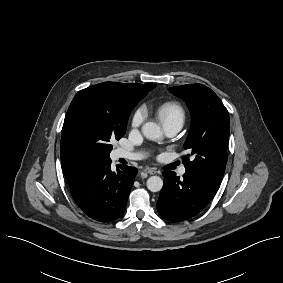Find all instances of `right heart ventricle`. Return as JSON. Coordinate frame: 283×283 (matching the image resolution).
Listing matches in <instances>:
<instances>
[{"mask_svg": "<svg viewBox=\"0 0 283 283\" xmlns=\"http://www.w3.org/2000/svg\"><path fill=\"white\" fill-rule=\"evenodd\" d=\"M157 116L162 122L163 125L176 122L183 124L185 120V110L184 108L177 102L167 101L162 103L157 108Z\"/></svg>", "mask_w": 283, "mask_h": 283, "instance_id": "right-heart-ventricle-1", "label": "right heart ventricle"}]
</instances>
